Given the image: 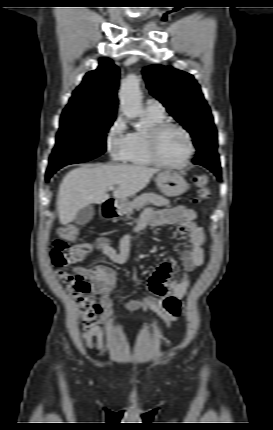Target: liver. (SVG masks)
Instances as JSON below:
<instances>
[{"label":"liver","mask_w":273,"mask_h":430,"mask_svg":"<svg viewBox=\"0 0 273 430\" xmlns=\"http://www.w3.org/2000/svg\"><path fill=\"white\" fill-rule=\"evenodd\" d=\"M157 169L140 165H98L71 170L63 179L57 197L60 223L69 224L77 212L109 199V187L116 185L115 199H125L145 188Z\"/></svg>","instance_id":"obj_1"}]
</instances>
